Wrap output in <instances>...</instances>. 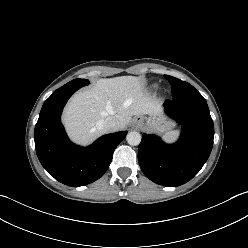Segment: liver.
<instances>
[{
    "instance_id": "1",
    "label": "liver",
    "mask_w": 248,
    "mask_h": 248,
    "mask_svg": "<svg viewBox=\"0 0 248 248\" xmlns=\"http://www.w3.org/2000/svg\"><path fill=\"white\" fill-rule=\"evenodd\" d=\"M161 104L144 90V82L134 76L99 79L89 89L76 93L69 101L63 122L70 137L79 144H88L105 131L97 122L107 117L119 121L124 129L132 116L159 113Z\"/></svg>"
}]
</instances>
